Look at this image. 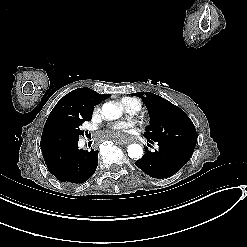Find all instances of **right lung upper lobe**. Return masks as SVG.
<instances>
[{"instance_id":"right-lung-upper-lobe-1","label":"right lung upper lobe","mask_w":247,"mask_h":247,"mask_svg":"<svg viewBox=\"0 0 247 247\" xmlns=\"http://www.w3.org/2000/svg\"><path fill=\"white\" fill-rule=\"evenodd\" d=\"M109 96L110 94H99L86 87L66 94L48 116L41 137V147L55 130L71 125L77 120H91L94 107Z\"/></svg>"}]
</instances>
